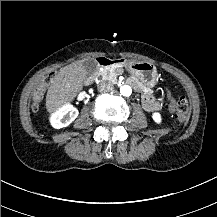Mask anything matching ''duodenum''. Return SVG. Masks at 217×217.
Returning <instances> with one entry per match:
<instances>
[{
    "instance_id": "410a0bca",
    "label": "duodenum",
    "mask_w": 217,
    "mask_h": 217,
    "mask_svg": "<svg viewBox=\"0 0 217 217\" xmlns=\"http://www.w3.org/2000/svg\"><path fill=\"white\" fill-rule=\"evenodd\" d=\"M96 63L100 67H106V66L116 67V66H119L121 64V60L111 59V58H107V57H98L96 59Z\"/></svg>"
}]
</instances>
